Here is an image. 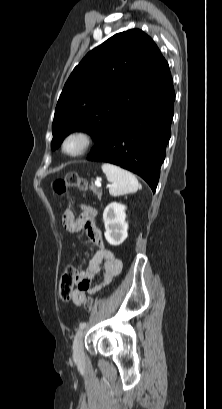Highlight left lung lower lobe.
Segmentation results:
<instances>
[{
    "label": "left lung lower lobe",
    "mask_w": 222,
    "mask_h": 409,
    "mask_svg": "<svg viewBox=\"0 0 222 409\" xmlns=\"http://www.w3.org/2000/svg\"><path fill=\"white\" fill-rule=\"evenodd\" d=\"M174 100L169 74L122 108L96 140L87 159L109 162L132 171L155 192L171 135Z\"/></svg>",
    "instance_id": "left-lung-lower-lobe-1"
}]
</instances>
